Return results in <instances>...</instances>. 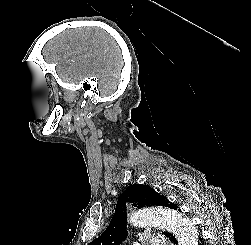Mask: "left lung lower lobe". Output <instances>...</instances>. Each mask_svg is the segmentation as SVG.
Here are the masks:
<instances>
[{
    "label": "left lung lower lobe",
    "instance_id": "0a47b994",
    "mask_svg": "<svg viewBox=\"0 0 251 245\" xmlns=\"http://www.w3.org/2000/svg\"><path fill=\"white\" fill-rule=\"evenodd\" d=\"M178 210H180V209H178ZM165 236L169 238V240L171 241V243L173 245L177 244V240H176L175 236H173V234L167 232L165 234ZM198 240L200 241L199 245H203V242H202L203 239L200 236L198 237Z\"/></svg>",
    "mask_w": 251,
    "mask_h": 245
}]
</instances>
